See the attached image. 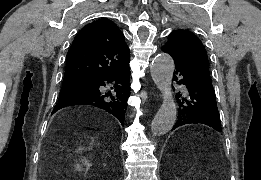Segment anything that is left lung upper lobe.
Here are the masks:
<instances>
[{
  "label": "left lung upper lobe",
  "mask_w": 261,
  "mask_h": 180,
  "mask_svg": "<svg viewBox=\"0 0 261 180\" xmlns=\"http://www.w3.org/2000/svg\"><path fill=\"white\" fill-rule=\"evenodd\" d=\"M177 61L200 73L211 82L208 58L200 39L190 31L175 30L162 47Z\"/></svg>",
  "instance_id": "5c2ea615"
}]
</instances>
